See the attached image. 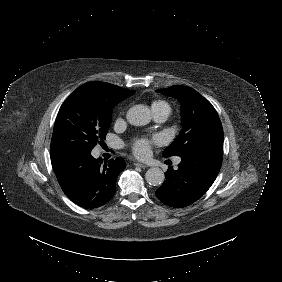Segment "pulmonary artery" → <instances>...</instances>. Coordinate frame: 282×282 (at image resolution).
<instances>
[{"instance_id":"1","label":"pulmonary artery","mask_w":282,"mask_h":282,"mask_svg":"<svg viewBox=\"0 0 282 282\" xmlns=\"http://www.w3.org/2000/svg\"><path fill=\"white\" fill-rule=\"evenodd\" d=\"M170 107L166 106L161 110L153 112L154 118L157 122H164L170 115ZM180 159L178 158L176 163H179Z\"/></svg>"}]
</instances>
